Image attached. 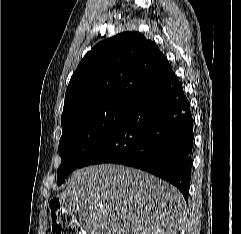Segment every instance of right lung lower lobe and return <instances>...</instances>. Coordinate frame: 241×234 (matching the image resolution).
I'll return each instance as SVG.
<instances>
[{"instance_id": "1", "label": "right lung lower lobe", "mask_w": 241, "mask_h": 234, "mask_svg": "<svg viewBox=\"0 0 241 234\" xmlns=\"http://www.w3.org/2000/svg\"><path fill=\"white\" fill-rule=\"evenodd\" d=\"M193 139L190 105L172 72L132 105L79 168L100 163L139 168L175 185L188 201Z\"/></svg>"}]
</instances>
